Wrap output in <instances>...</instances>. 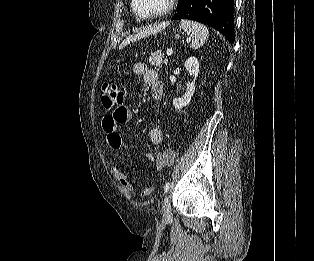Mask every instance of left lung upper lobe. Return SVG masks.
I'll use <instances>...</instances> for the list:
<instances>
[{
    "mask_svg": "<svg viewBox=\"0 0 314 261\" xmlns=\"http://www.w3.org/2000/svg\"><path fill=\"white\" fill-rule=\"evenodd\" d=\"M183 1H184V0H179V1H178L177 10H178L179 7L182 5Z\"/></svg>",
    "mask_w": 314,
    "mask_h": 261,
    "instance_id": "1",
    "label": "left lung upper lobe"
}]
</instances>
